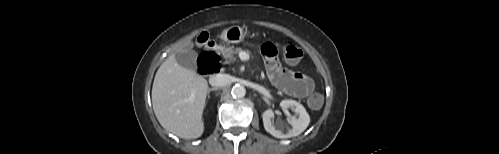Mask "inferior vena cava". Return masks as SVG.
Returning a JSON list of instances; mask_svg holds the SVG:
<instances>
[{"mask_svg": "<svg viewBox=\"0 0 499 154\" xmlns=\"http://www.w3.org/2000/svg\"><path fill=\"white\" fill-rule=\"evenodd\" d=\"M209 83L214 87H223L230 83L228 74H215L209 78Z\"/></svg>", "mask_w": 499, "mask_h": 154, "instance_id": "obj_1", "label": "inferior vena cava"}]
</instances>
